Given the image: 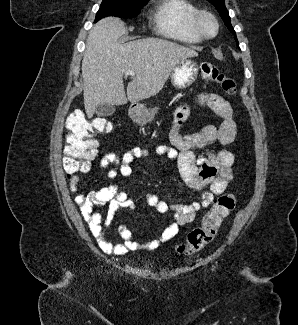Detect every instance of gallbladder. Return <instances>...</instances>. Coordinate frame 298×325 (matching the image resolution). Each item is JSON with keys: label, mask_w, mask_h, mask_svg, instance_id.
Instances as JSON below:
<instances>
[{"label": "gallbladder", "mask_w": 298, "mask_h": 325, "mask_svg": "<svg viewBox=\"0 0 298 325\" xmlns=\"http://www.w3.org/2000/svg\"><path fill=\"white\" fill-rule=\"evenodd\" d=\"M116 108L113 104H108V102H104V104H98L95 108V114L97 116H109V114H113Z\"/></svg>", "instance_id": "1"}]
</instances>
